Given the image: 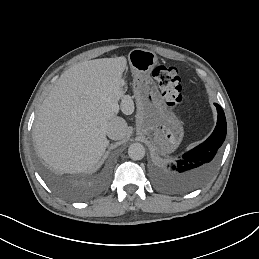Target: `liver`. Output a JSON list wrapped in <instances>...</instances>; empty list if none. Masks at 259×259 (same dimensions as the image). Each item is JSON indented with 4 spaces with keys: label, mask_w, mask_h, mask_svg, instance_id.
Segmentation results:
<instances>
[{
    "label": "liver",
    "mask_w": 259,
    "mask_h": 259,
    "mask_svg": "<svg viewBox=\"0 0 259 259\" xmlns=\"http://www.w3.org/2000/svg\"><path fill=\"white\" fill-rule=\"evenodd\" d=\"M126 58L86 61L65 71L44 99L32 133L39 156L60 172L91 169L106 151L104 131L127 110ZM102 127V129H101Z\"/></svg>",
    "instance_id": "1"
}]
</instances>
